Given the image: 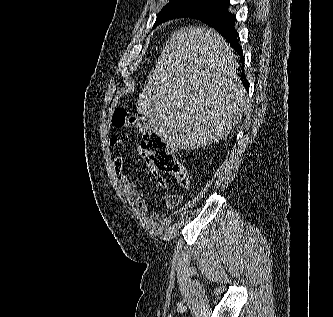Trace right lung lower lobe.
Here are the masks:
<instances>
[{
  "label": "right lung lower lobe",
  "mask_w": 333,
  "mask_h": 317,
  "mask_svg": "<svg viewBox=\"0 0 333 317\" xmlns=\"http://www.w3.org/2000/svg\"><path fill=\"white\" fill-rule=\"evenodd\" d=\"M229 4L225 7L209 12L200 14L197 16H193L191 18L200 20L209 26L215 28L230 45L234 48V50L243 57V53L241 50V46L238 43V33L235 30L234 24L236 16L228 11ZM241 61L243 62V59L241 58ZM243 81L244 86L246 87L247 91L249 90V83L246 80V78L243 76L241 78Z\"/></svg>",
  "instance_id": "1"
}]
</instances>
